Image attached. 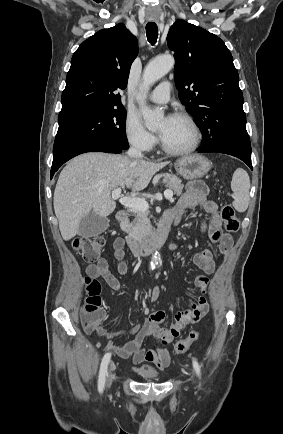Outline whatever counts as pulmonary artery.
I'll list each match as a JSON object with an SVG mask.
<instances>
[{
  "instance_id": "obj_1",
  "label": "pulmonary artery",
  "mask_w": 283,
  "mask_h": 434,
  "mask_svg": "<svg viewBox=\"0 0 283 434\" xmlns=\"http://www.w3.org/2000/svg\"><path fill=\"white\" fill-rule=\"evenodd\" d=\"M171 84L168 81L160 83L150 94L149 99L158 104L168 102L170 98Z\"/></svg>"
}]
</instances>
